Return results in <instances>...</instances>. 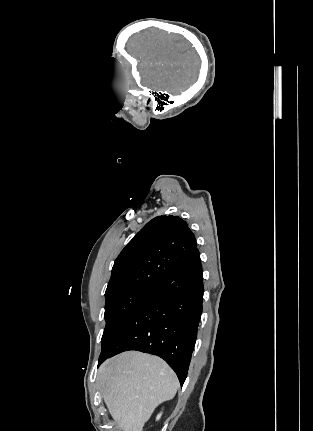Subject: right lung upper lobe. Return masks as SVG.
<instances>
[{
    "label": "right lung upper lobe",
    "instance_id": "obj_1",
    "mask_svg": "<svg viewBox=\"0 0 313 431\" xmlns=\"http://www.w3.org/2000/svg\"><path fill=\"white\" fill-rule=\"evenodd\" d=\"M197 248L193 232L178 216L148 222L115 260L105 296L153 290Z\"/></svg>",
    "mask_w": 313,
    "mask_h": 431
}]
</instances>
